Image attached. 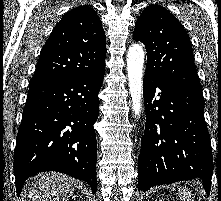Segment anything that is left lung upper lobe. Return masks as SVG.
<instances>
[{
  "label": "left lung upper lobe",
  "instance_id": "left-lung-upper-lobe-1",
  "mask_svg": "<svg viewBox=\"0 0 221 201\" xmlns=\"http://www.w3.org/2000/svg\"><path fill=\"white\" fill-rule=\"evenodd\" d=\"M133 38L145 45V74L162 82L202 91L189 36L167 9L160 5L146 7L136 21Z\"/></svg>",
  "mask_w": 221,
  "mask_h": 201
}]
</instances>
